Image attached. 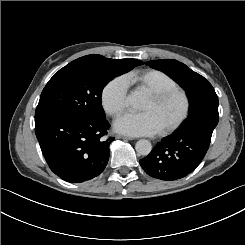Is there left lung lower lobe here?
<instances>
[{
    "instance_id": "1",
    "label": "left lung lower lobe",
    "mask_w": 245,
    "mask_h": 245,
    "mask_svg": "<svg viewBox=\"0 0 245 245\" xmlns=\"http://www.w3.org/2000/svg\"><path fill=\"white\" fill-rule=\"evenodd\" d=\"M218 120V97L211 88L189 107L181 126L139 161L141 167L149 176L164 181L186 177L204 158Z\"/></svg>"
}]
</instances>
